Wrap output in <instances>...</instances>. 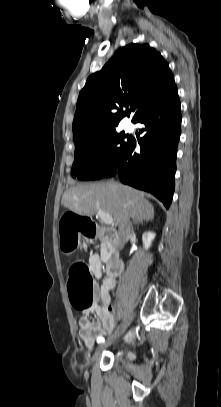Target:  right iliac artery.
<instances>
[{
	"label": "right iliac artery",
	"instance_id": "1",
	"mask_svg": "<svg viewBox=\"0 0 221 407\" xmlns=\"http://www.w3.org/2000/svg\"><path fill=\"white\" fill-rule=\"evenodd\" d=\"M97 342H98V343L104 342V338H103V337H99V338L97 339Z\"/></svg>",
	"mask_w": 221,
	"mask_h": 407
}]
</instances>
